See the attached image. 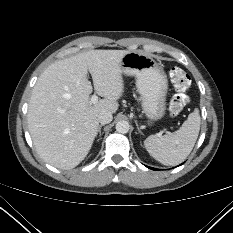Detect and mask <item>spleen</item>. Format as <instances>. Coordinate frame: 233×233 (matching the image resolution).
I'll list each match as a JSON object with an SVG mask.
<instances>
[{
  "mask_svg": "<svg viewBox=\"0 0 233 233\" xmlns=\"http://www.w3.org/2000/svg\"><path fill=\"white\" fill-rule=\"evenodd\" d=\"M198 109L189 114L182 126L163 136L151 135L144 141L149 154L163 165H178L191 153L200 130Z\"/></svg>",
  "mask_w": 233,
  "mask_h": 233,
  "instance_id": "obj_1",
  "label": "spleen"
}]
</instances>
